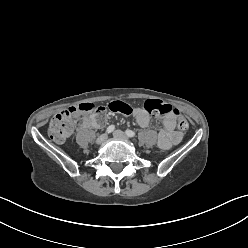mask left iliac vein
<instances>
[{
  "mask_svg": "<svg viewBox=\"0 0 248 248\" xmlns=\"http://www.w3.org/2000/svg\"><path fill=\"white\" fill-rule=\"evenodd\" d=\"M113 136L117 139H122V140H128V137L125 135L124 132H122L121 130H115L113 132Z\"/></svg>",
  "mask_w": 248,
  "mask_h": 248,
  "instance_id": "4c4485c4",
  "label": "left iliac vein"
}]
</instances>
